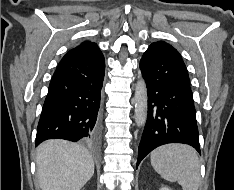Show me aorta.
Here are the masks:
<instances>
[{"mask_svg":"<svg viewBox=\"0 0 234 190\" xmlns=\"http://www.w3.org/2000/svg\"><path fill=\"white\" fill-rule=\"evenodd\" d=\"M135 122L138 127L145 125L148 110L147 87L145 81L141 78L137 81L135 87Z\"/></svg>","mask_w":234,"mask_h":190,"instance_id":"aorta-1","label":"aorta"}]
</instances>
